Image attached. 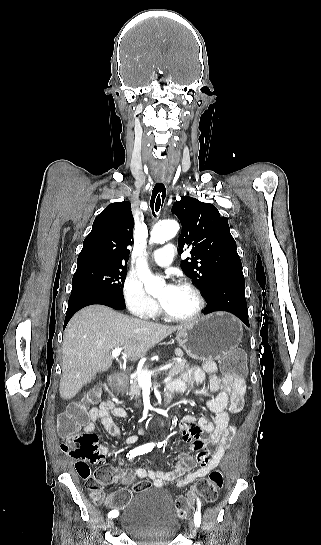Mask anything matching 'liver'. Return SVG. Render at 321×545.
<instances>
[{"label": "liver", "instance_id": "liver-1", "mask_svg": "<svg viewBox=\"0 0 321 545\" xmlns=\"http://www.w3.org/2000/svg\"><path fill=\"white\" fill-rule=\"evenodd\" d=\"M182 327L133 319L104 305L85 307L72 317L64 331L60 397L73 399L96 373L110 369L113 349L120 347L130 361H138Z\"/></svg>", "mask_w": 321, "mask_h": 545}]
</instances>
